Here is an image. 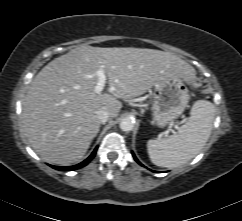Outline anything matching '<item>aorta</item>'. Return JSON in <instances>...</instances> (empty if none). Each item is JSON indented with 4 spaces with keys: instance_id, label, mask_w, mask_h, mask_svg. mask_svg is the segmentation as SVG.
<instances>
[{
    "instance_id": "1",
    "label": "aorta",
    "mask_w": 242,
    "mask_h": 221,
    "mask_svg": "<svg viewBox=\"0 0 242 221\" xmlns=\"http://www.w3.org/2000/svg\"><path fill=\"white\" fill-rule=\"evenodd\" d=\"M134 120L129 118V117H125L120 121V129L124 132H129L132 131L134 128Z\"/></svg>"
}]
</instances>
